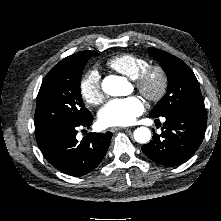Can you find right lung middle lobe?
<instances>
[{"mask_svg": "<svg viewBox=\"0 0 221 221\" xmlns=\"http://www.w3.org/2000/svg\"><path fill=\"white\" fill-rule=\"evenodd\" d=\"M98 53L55 65L44 78L35 111V131L54 125L79 123L91 113L84 106L80 81L87 61Z\"/></svg>", "mask_w": 221, "mask_h": 221, "instance_id": "1", "label": "right lung middle lobe"}]
</instances>
